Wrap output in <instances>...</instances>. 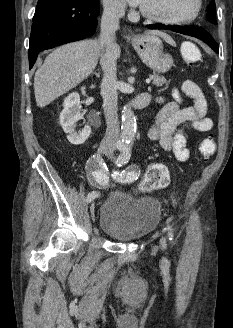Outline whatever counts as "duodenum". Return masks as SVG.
<instances>
[{
  "instance_id": "1",
  "label": "duodenum",
  "mask_w": 233,
  "mask_h": 328,
  "mask_svg": "<svg viewBox=\"0 0 233 328\" xmlns=\"http://www.w3.org/2000/svg\"><path fill=\"white\" fill-rule=\"evenodd\" d=\"M151 102V96L148 93H142L134 98L130 103L132 109H143Z\"/></svg>"
}]
</instances>
